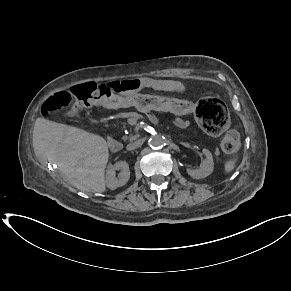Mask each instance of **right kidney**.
<instances>
[{"instance_id": "1", "label": "right kidney", "mask_w": 291, "mask_h": 291, "mask_svg": "<svg viewBox=\"0 0 291 291\" xmlns=\"http://www.w3.org/2000/svg\"><path fill=\"white\" fill-rule=\"evenodd\" d=\"M116 171H120L116 176ZM130 177L129 165L126 161H119L114 165H109L106 171V185L114 190L117 187L125 185Z\"/></svg>"}]
</instances>
